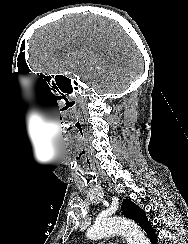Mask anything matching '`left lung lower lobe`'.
I'll return each instance as SVG.
<instances>
[{
    "label": "left lung lower lobe",
    "instance_id": "left-lung-lower-lobe-1",
    "mask_svg": "<svg viewBox=\"0 0 188 244\" xmlns=\"http://www.w3.org/2000/svg\"><path fill=\"white\" fill-rule=\"evenodd\" d=\"M139 226L142 228L151 244H158L157 235L155 234V230L153 229L151 223L148 221L146 214L142 217Z\"/></svg>",
    "mask_w": 188,
    "mask_h": 244
}]
</instances>
